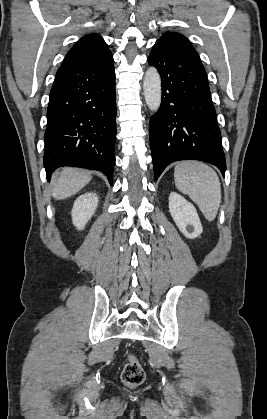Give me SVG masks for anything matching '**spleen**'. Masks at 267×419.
Returning a JSON list of instances; mask_svg holds the SVG:
<instances>
[{"mask_svg":"<svg viewBox=\"0 0 267 419\" xmlns=\"http://www.w3.org/2000/svg\"><path fill=\"white\" fill-rule=\"evenodd\" d=\"M177 189L187 194L208 221L216 218L221 203V184L216 172L198 161H184L174 169Z\"/></svg>","mask_w":267,"mask_h":419,"instance_id":"1","label":"spleen"}]
</instances>
